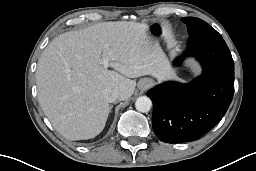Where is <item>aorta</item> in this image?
I'll return each instance as SVG.
<instances>
[{
	"label": "aorta",
	"instance_id": "aorta-1",
	"mask_svg": "<svg viewBox=\"0 0 256 171\" xmlns=\"http://www.w3.org/2000/svg\"><path fill=\"white\" fill-rule=\"evenodd\" d=\"M135 107L139 112L147 113L152 107V101L147 96H141L136 100Z\"/></svg>",
	"mask_w": 256,
	"mask_h": 171
}]
</instances>
